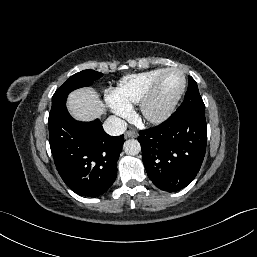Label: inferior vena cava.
Masks as SVG:
<instances>
[{"label": "inferior vena cava", "mask_w": 257, "mask_h": 257, "mask_svg": "<svg viewBox=\"0 0 257 257\" xmlns=\"http://www.w3.org/2000/svg\"><path fill=\"white\" fill-rule=\"evenodd\" d=\"M105 132L111 136H118L126 131L127 123L119 117L110 116L103 124Z\"/></svg>", "instance_id": "obj_1"}]
</instances>
